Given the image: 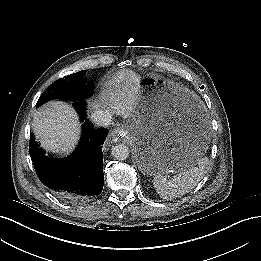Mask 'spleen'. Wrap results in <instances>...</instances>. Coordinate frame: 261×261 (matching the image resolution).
Returning a JSON list of instances; mask_svg holds the SVG:
<instances>
[{
	"label": "spleen",
	"mask_w": 261,
	"mask_h": 261,
	"mask_svg": "<svg viewBox=\"0 0 261 261\" xmlns=\"http://www.w3.org/2000/svg\"><path fill=\"white\" fill-rule=\"evenodd\" d=\"M208 164V158H202L198 160L197 167L181 171L170 179L161 174L156 175L153 179L154 188L163 199L183 196L194 189L203 178L204 169Z\"/></svg>",
	"instance_id": "3e777b00"
}]
</instances>
